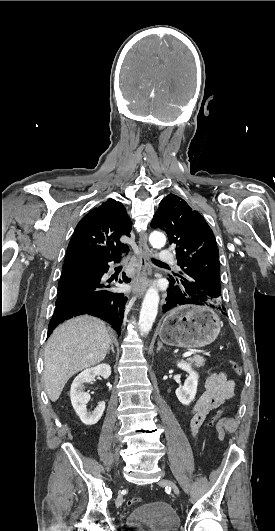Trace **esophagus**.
Here are the masks:
<instances>
[{"label":"esophagus","instance_id":"esophagus-1","mask_svg":"<svg viewBox=\"0 0 275 531\" xmlns=\"http://www.w3.org/2000/svg\"><path fill=\"white\" fill-rule=\"evenodd\" d=\"M147 233L141 232L139 236V252L140 259L137 267V273L135 279L132 281V291L134 294L141 297L148 285V275L150 274V268L148 265L149 248L147 244Z\"/></svg>","mask_w":275,"mask_h":531}]
</instances>
